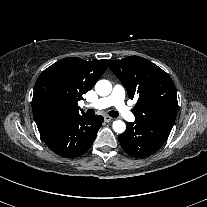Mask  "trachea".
Returning a JSON list of instances; mask_svg holds the SVG:
<instances>
[{
	"label": "trachea",
	"instance_id": "1",
	"mask_svg": "<svg viewBox=\"0 0 207 207\" xmlns=\"http://www.w3.org/2000/svg\"><path fill=\"white\" fill-rule=\"evenodd\" d=\"M87 114L90 115V116H92V115L95 114V112H94L93 109H89V110L87 111ZM109 115H110L111 117H118V116H119V113H118L117 111H110V112H109Z\"/></svg>",
	"mask_w": 207,
	"mask_h": 207
}]
</instances>
